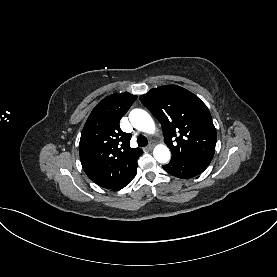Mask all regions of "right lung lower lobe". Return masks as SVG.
<instances>
[{
	"label": "right lung lower lobe",
	"mask_w": 277,
	"mask_h": 277,
	"mask_svg": "<svg viewBox=\"0 0 277 277\" xmlns=\"http://www.w3.org/2000/svg\"><path fill=\"white\" fill-rule=\"evenodd\" d=\"M137 166L128 174L126 178H124L118 185H116L112 190L118 191L128 185L133 178L136 176Z\"/></svg>",
	"instance_id": "98d812e1"
}]
</instances>
